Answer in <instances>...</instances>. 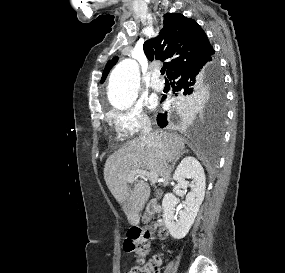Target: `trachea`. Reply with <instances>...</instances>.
<instances>
[{
  "label": "trachea",
  "mask_w": 285,
  "mask_h": 273,
  "mask_svg": "<svg viewBox=\"0 0 285 273\" xmlns=\"http://www.w3.org/2000/svg\"><path fill=\"white\" fill-rule=\"evenodd\" d=\"M165 71H166V68H165V67H162L161 70H160V72H161L162 75L165 74Z\"/></svg>",
  "instance_id": "1"
}]
</instances>
